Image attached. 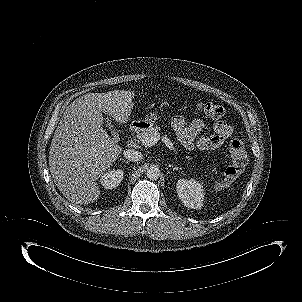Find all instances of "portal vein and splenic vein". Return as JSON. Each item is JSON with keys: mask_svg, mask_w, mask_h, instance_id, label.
<instances>
[{"mask_svg": "<svg viewBox=\"0 0 302 302\" xmlns=\"http://www.w3.org/2000/svg\"><path fill=\"white\" fill-rule=\"evenodd\" d=\"M159 140H160V136L154 135L150 137H145L144 139L141 140V142L144 146L150 147L155 145Z\"/></svg>", "mask_w": 302, "mask_h": 302, "instance_id": "portal-vein-and-splenic-vein-1", "label": "portal vein and splenic vein"}]
</instances>
